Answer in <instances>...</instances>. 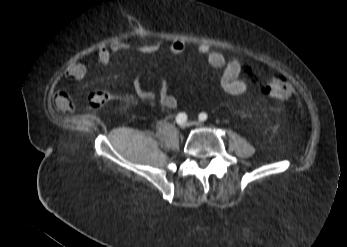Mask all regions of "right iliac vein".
I'll return each instance as SVG.
<instances>
[{"mask_svg":"<svg viewBox=\"0 0 347 247\" xmlns=\"http://www.w3.org/2000/svg\"><path fill=\"white\" fill-rule=\"evenodd\" d=\"M189 127V123H185L181 125L182 129H187Z\"/></svg>","mask_w":347,"mask_h":247,"instance_id":"1","label":"right iliac vein"}]
</instances>
